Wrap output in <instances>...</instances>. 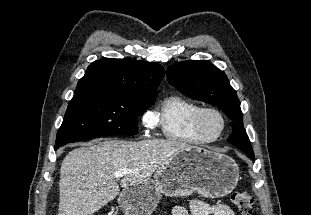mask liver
Wrapping results in <instances>:
<instances>
[{
    "label": "liver",
    "instance_id": "1",
    "mask_svg": "<svg viewBox=\"0 0 311 215\" xmlns=\"http://www.w3.org/2000/svg\"><path fill=\"white\" fill-rule=\"evenodd\" d=\"M192 146L176 140H105L70 151L62 161L58 215H92L119 195L115 173L135 170L120 180L127 189Z\"/></svg>",
    "mask_w": 311,
    "mask_h": 215
}]
</instances>
